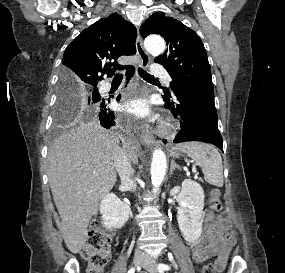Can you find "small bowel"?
Wrapping results in <instances>:
<instances>
[{
	"label": "small bowel",
	"instance_id": "1",
	"mask_svg": "<svg viewBox=\"0 0 285 273\" xmlns=\"http://www.w3.org/2000/svg\"><path fill=\"white\" fill-rule=\"evenodd\" d=\"M205 230L202 240L192 247V259L201 264L215 256V267L222 272L227 264L234 238L228 234L230 222L220 216L216 217L213 211L204 212Z\"/></svg>",
	"mask_w": 285,
	"mask_h": 273
}]
</instances>
